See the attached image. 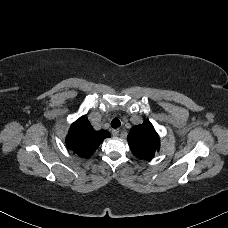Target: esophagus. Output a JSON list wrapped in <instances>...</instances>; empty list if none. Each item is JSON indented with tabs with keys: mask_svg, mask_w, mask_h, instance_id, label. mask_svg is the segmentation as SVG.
Listing matches in <instances>:
<instances>
[{
	"mask_svg": "<svg viewBox=\"0 0 228 228\" xmlns=\"http://www.w3.org/2000/svg\"><path fill=\"white\" fill-rule=\"evenodd\" d=\"M112 135H113L114 137H117V136L119 135V130H118V129L112 130Z\"/></svg>",
	"mask_w": 228,
	"mask_h": 228,
	"instance_id": "1",
	"label": "esophagus"
}]
</instances>
